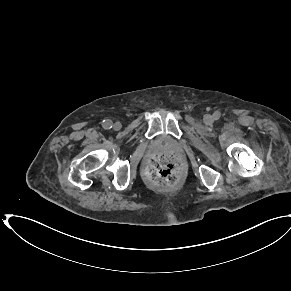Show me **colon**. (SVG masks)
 Instances as JSON below:
<instances>
[{"label": "colon", "mask_w": 291, "mask_h": 291, "mask_svg": "<svg viewBox=\"0 0 291 291\" xmlns=\"http://www.w3.org/2000/svg\"><path fill=\"white\" fill-rule=\"evenodd\" d=\"M179 165L170 155H159L152 158L147 166V175L158 187H168L175 183Z\"/></svg>", "instance_id": "colon-1"}]
</instances>
